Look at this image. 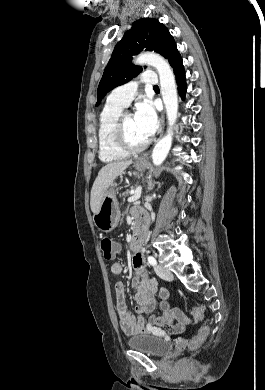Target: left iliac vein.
Here are the masks:
<instances>
[{
	"mask_svg": "<svg viewBox=\"0 0 265 390\" xmlns=\"http://www.w3.org/2000/svg\"><path fill=\"white\" fill-rule=\"evenodd\" d=\"M154 270L156 272V274L161 277L162 279L166 280V281H172L173 280V274L170 270L160 266V265H156L154 267Z\"/></svg>",
	"mask_w": 265,
	"mask_h": 390,
	"instance_id": "1",
	"label": "left iliac vein"
}]
</instances>
